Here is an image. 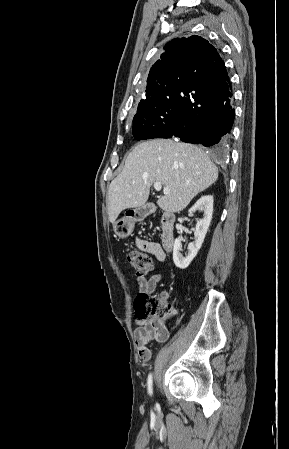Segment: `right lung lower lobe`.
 I'll return each mask as SVG.
<instances>
[{"instance_id":"98d812e1","label":"right lung lower lobe","mask_w":289,"mask_h":449,"mask_svg":"<svg viewBox=\"0 0 289 449\" xmlns=\"http://www.w3.org/2000/svg\"><path fill=\"white\" fill-rule=\"evenodd\" d=\"M173 122L151 138L180 137L182 141L222 150L233 126L232 84L224 66L207 81L180 82Z\"/></svg>"}]
</instances>
